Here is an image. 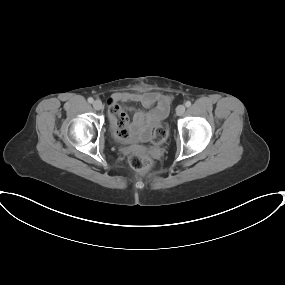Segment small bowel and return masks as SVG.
Returning <instances> with one entry per match:
<instances>
[{"mask_svg": "<svg viewBox=\"0 0 285 285\" xmlns=\"http://www.w3.org/2000/svg\"><path fill=\"white\" fill-rule=\"evenodd\" d=\"M171 96L161 92H141V93H119L109 99L110 120L116 124L118 116L112 110L116 109L126 124L127 134L125 138L135 139L140 137L147 139L151 129L163 118L166 117L170 104ZM119 102H137L145 109L137 110L130 119L128 114L120 107Z\"/></svg>", "mask_w": 285, "mask_h": 285, "instance_id": "obj_1", "label": "small bowel"}]
</instances>
